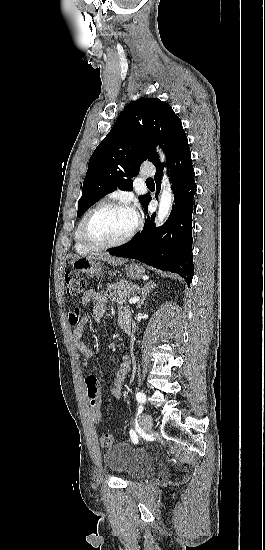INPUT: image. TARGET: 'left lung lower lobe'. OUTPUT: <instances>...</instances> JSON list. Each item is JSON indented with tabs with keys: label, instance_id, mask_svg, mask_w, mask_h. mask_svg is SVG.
Segmentation results:
<instances>
[{
	"label": "left lung lower lobe",
	"instance_id": "1",
	"mask_svg": "<svg viewBox=\"0 0 265 550\" xmlns=\"http://www.w3.org/2000/svg\"><path fill=\"white\" fill-rule=\"evenodd\" d=\"M166 166L174 193V204L168 220L156 228L154 214L148 216L143 231L130 243L110 249V254L137 259L163 271L175 272L189 286L194 273L192 213L196 209V184L188 141L177 149L166 162ZM162 172L163 166L156 169L154 179L157 192L161 187ZM148 204L145 207L146 212Z\"/></svg>",
	"mask_w": 265,
	"mask_h": 550
}]
</instances>
